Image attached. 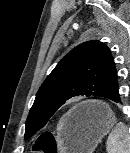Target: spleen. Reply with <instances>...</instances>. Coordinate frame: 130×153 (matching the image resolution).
Listing matches in <instances>:
<instances>
[{"label": "spleen", "mask_w": 130, "mask_h": 153, "mask_svg": "<svg viewBox=\"0 0 130 153\" xmlns=\"http://www.w3.org/2000/svg\"><path fill=\"white\" fill-rule=\"evenodd\" d=\"M106 150L107 153H130V134L123 122L117 123L109 134Z\"/></svg>", "instance_id": "spleen-1"}]
</instances>
